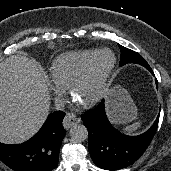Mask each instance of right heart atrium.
Instances as JSON below:
<instances>
[{"label": "right heart atrium", "mask_w": 171, "mask_h": 171, "mask_svg": "<svg viewBox=\"0 0 171 171\" xmlns=\"http://www.w3.org/2000/svg\"><path fill=\"white\" fill-rule=\"evenodd\" d=\"M50 88H51L52 94L57 102L63 100L65 92H66V88L64 86H62L60 84H55L54 82H52L50 84Z\"/></svg>", "instance_id": "right-heart-atrium-1"}]
</instances>
